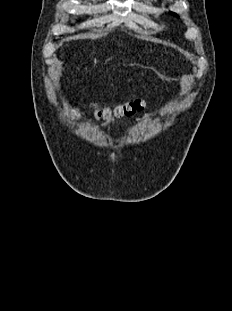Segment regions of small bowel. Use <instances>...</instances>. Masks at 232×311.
<instances>
[{
  "label": "small bowel",
  "instance_id": "small-bowel-1",
  "mask_svg": "<svg viewBox=\"0 0 232 311\" xmlns=\"http://www.w3.org/2000/svg\"><path fill=\"white\" fill-rule=\"evenodd\" d=\"M151 114L149 112L147 113H144L143 115H141L139 118H138V122L140 124H144V123H147L150 119H151ZM109 125H110V122H107L105 124V129H108L109 128Z\"/></svg>",
  "mask_w": 232,
  "mask_h": 311
}]
</instances>
